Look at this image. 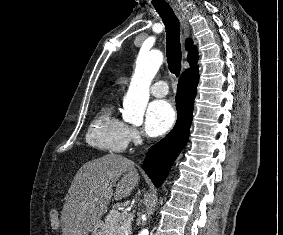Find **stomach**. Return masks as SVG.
<instances>
[{
    "mask_svg": "<svg viewBox=\"0 0 283 235\" xmlns=\"http://www.w3.org/2000/svg\"><path fill=\"white\" fill-rule=\"evenodd\" d=\"M91 235H109L103 221L97 222L90 230Z\"/></svg>",
    "mask_w": 283,
    "mask_h": 235,
    "instance_id": "1",
    "label": "stomach"
}]
</instances>
